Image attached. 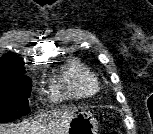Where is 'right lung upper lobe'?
<instances>
[{"instance_id": "1", "label": "right lung upper lobe", "mask_w": 153, "mask_h": 134, "mask_svg": "<svg viewBox=\"0 0 153 134\" xmlns=\"http://www.w3.org/2000/svg\"><path fill=\"white\" fill-rule=\"evenodd\" d=\"M24 62L12 53L3 55L0 59V77L25 76Z\"/></svg>"}]
</instances>
